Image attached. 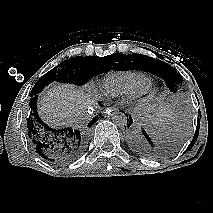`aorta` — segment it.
Wrapping results in <instances>:
<instances>
[{
  "instance_id": "obj_1",
  "label": "aorta",
  "mask_w": 213,
  "mask_h": 213,
  "mask_svg": "<svg viewBox=\"0 0 213 213\" xmlns=\"http://www.w3.org/2000/svg\"><path fill=\"white\" fill-rule=\"evenodd\" d=\"M112 121L115 125L124 127L127 125V116L122 112H117L113 115Z\"/></svg>"
}]
</instances>
